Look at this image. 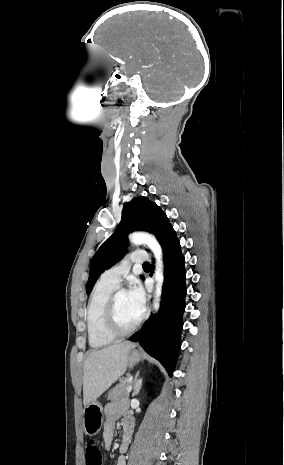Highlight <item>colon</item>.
<instances>
[{"mask_svg":"<svg viewBox=\"0 0 284 465\" xmlns=\"http://www.w3.org/2000/svg\"><path fill=\"white\" fill-rule=\"evenodd\" d=\"M84 453L86 457V465H101V457L98 446H85Z\"/></svg>","mask_w":284,"mask_h":465,"instance_id":"colon-1","label":"colon"}]
</instances>
